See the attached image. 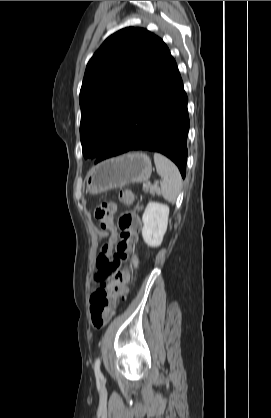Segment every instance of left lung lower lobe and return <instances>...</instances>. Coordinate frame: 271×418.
Instances as JSON below:
<instances>
[{
    "mask_svg": "<svg viewBox=\"0 0 271 418\" xmlns=\"http://www.w3.org/2000/svg\"><path fill=\"white\" fill-rule=\"evenodd\" d=\"M188 98L172 56L142 93L96 163L132 150L159 152L186 173Z\"/></svg>",
    "mask_w": 271,
    "mask_h": 418,
    "instance_id": "0a47b994",
    "label": "left lung lower lobe"
}]
</instances>
